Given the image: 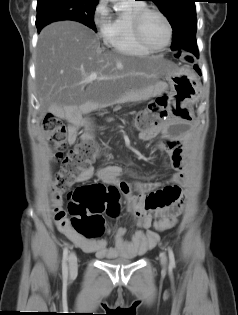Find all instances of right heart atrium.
<instances>
[{"label": "right heart atrium", "mask_w": 238, "mask_h": 315, "mask_svg": "<svg viewBox=\"0 0 238 315\" xmlns=\"http://www.w3.org/2000/svg\"><path fill=\"white\" fill-rule=\"evenodd\" d=\"M94 25L101 31V34L110 20V11L106 0H98L92 14Z\"/></svg>", "instance_id": "1"}]
</instances>
